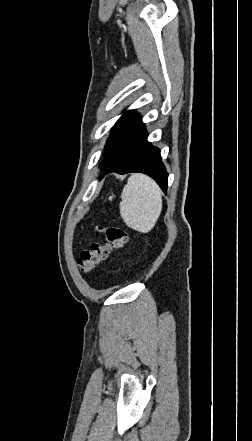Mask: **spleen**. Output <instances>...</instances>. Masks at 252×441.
Wrapping results in <instances>:
<instances>
[{
	"label": "spleen",
	"instance_id": "spleen-1",
	"mask_svg": "<svg viewBox=\"0 0 252 441\" xmlns=\"http://www.w3.org/2000/svg\"><path fill=\"white\" fill-rule=\"evenodd\" d=\"M120 215L133 230L148 233L162 211L161 189L144 174H133L121 193Z\"/></svg>",
	"mask_w": 252,
	"mask_h": 441
}]
</instances>
